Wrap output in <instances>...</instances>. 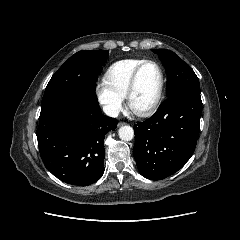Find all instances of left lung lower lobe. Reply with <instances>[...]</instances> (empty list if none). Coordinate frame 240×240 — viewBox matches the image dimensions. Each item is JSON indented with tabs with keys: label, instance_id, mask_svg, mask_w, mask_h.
Masks as SVG:
<instances>
[{
	"label": "left lung lower lobe",
	"instance_id": "1",
	"mask_svg": "<svg viewBox=\"0 0 240 240\" xmlns=\"http://www.w3.org/2000/svg\"><path fill=\"white\" fill-rule=\"evenodd\" d=\"M200 91L169 96L153 116L134 126V158L140 173L162 180L175 173L193 155L200 130Z\"/></svg>",
	"mask_w": 240,
	"mask_h": 240
}]
</instances>
